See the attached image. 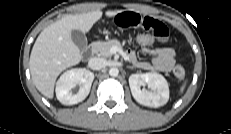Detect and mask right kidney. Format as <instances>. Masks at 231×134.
I'll return each mask as SVG.
<instances>
[{
    "instance_id": "1",
    "label": "right kidney",
    "mask_w": 231,
    "mask_h": 134,
    "mask_svg": "<svg viewBox=\"0 0 231 134\" xmlns=\"http://www.w3.org/2000/svg\"><path fill=\"white\" fill-rule=\"evenodd\" d=\"M94 74L86 69L76 68L64 72L56 85V97L64 105H73L82 102L89 94ZM80 86L77 94L71 89Z\"/></svg>"
}]
</instances>
